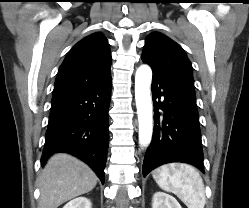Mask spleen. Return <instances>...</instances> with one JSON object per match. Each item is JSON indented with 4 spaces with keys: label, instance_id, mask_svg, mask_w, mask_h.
Returning a JSON list of instances; mask_svg holds the SVG:
<instances>
[{
    "label": "spleen",
    "instance_id": "1",
    "mask_svg": "<svg viewBox=\"0 0 249 208\" xmlns=\"http://www.w3.org/2000/svg\"><path fill=\"white\" fill-rule=\"evenodd\" d=\"M152 175L161 189L177 195L188 208H204L203 180L193 166L171 163L155 169Z\"/></svg>",
    "mask_w": 249,
    "mask_h": 208
}]
</instances>
